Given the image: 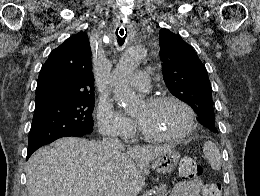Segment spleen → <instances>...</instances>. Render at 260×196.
Returning a JSON list of instances; mask_svg holds the SVG:
<instances>
[{
  "instance_id": "spleen-1",
  "label": "spleen",
  "mask_w": 260,
  "mask_h": 196,
  "mask_svg": "<svg viewBox=\"0 0 260 196\" xmlns=\"http://www.w3.org/2000/svg\"><path fill=\"white\" fill-rule=\"evenodd\" d=\"M203 154L205 158H207L212 170H221L222 158L214 142H205L203 146Z\"/></svg>"
}]
</instances>
